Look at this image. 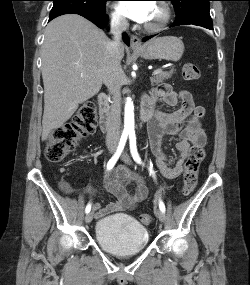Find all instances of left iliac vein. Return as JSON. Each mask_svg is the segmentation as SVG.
<instances>
[{"instance_id": "4c4485c4", "label": "left iliac vein", "mask_w": 250, "mask_h": 285, "mask_svg": "<svg viewBox=\"0 0 250 285\" xmlns=\"http://www.w3.org/2000/svg\"><path fill=\"white\" fill-rule=\"evenodd\" d=\"M121 158H122V160H123L125 163H127V164H130V163H131V160H130V158H129V156H128L127 154L124 153ZM157 216H158V218H159V220H160L161 222H165V221H166V215H165V213H164L163 211L158 210V211H157Z\"/></svg>"}]
</instances>
